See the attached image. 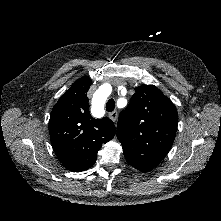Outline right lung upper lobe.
Segmentation results:
<instances>
[{
    "instance_id": "1",
    "label": "right lung upper lobe",
    "mask_w": 221,
    "mask_h": 221,
    "mask_svg": "<svg viewBox=\"0 0 221 221\" xmlns=\"http://www.w3.org/2000/svg\"><path fill=\"white\" fill-rule=\"evenodd\" d=\"M90 85L88 77L75 81L53 107L49 120L53 149L64 167L73 172L93 166L102 144L116 133L108 117L95 119L90 115L87 98Z\"/></svg>"
}]
</instances>
